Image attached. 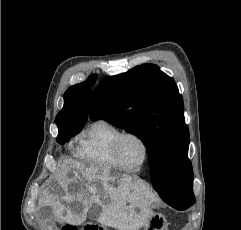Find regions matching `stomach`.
Returning <instances> with one entry per match:
<instances>
[{
    "label": "stomach",
    "mask_w": 241,
    "mask_h": 230,
    "mask_svg": "<svg viewBox=\"0 0 241 230\" xmlns=\"http://www.w3.org/2000/svg\"><path fill=\"white\" fill-rule=\"evenodd\" d=\"M96 226V225H93ZM98 230H108L104 225H98ZM144 230H167L168 222L161 213H152L147 223L143 226Z\"/></svg>",
    "instance_id": "stomach-1"
}]
</instances>
